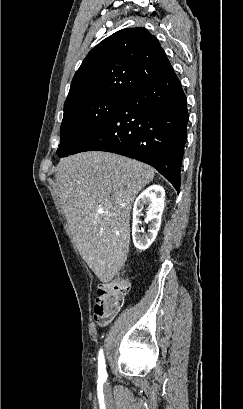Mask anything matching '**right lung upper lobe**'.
<instances>
[{
	"label": "right lung upper lobe",
	"instance_id": "right-lung-upper-lobe-1",
	"mask_svg": "<svg viewBox=\"0 0 243 409\" xmlns=\"http://www.w3.org/2000/svg\"><path fill=\"white\" fill-rule=\"evenodd\" d=\"M173 71L154 35L141 27L122 29L88 53L73 77L64 107L98 98L127 97Z\"/></svg>",
	"mask_w": 243,
	"mask_h": 409
}]
</instances>
